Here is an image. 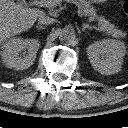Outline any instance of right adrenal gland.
Here are the masks:
<instances>
[{"instance_id":"2a0ac1e0","label":"right adrenal gland","mask_w":128,"mask_h":128,"mask_svg":"<svg viewBox=\"0 0 128 128\" xmlns=\"http://www.w3.org/2000/svg\"><path fill=\"white\" fill-rule=\"evenodd\" d=\"M38 29H42L43 28V26H41V25H37L36 26Z\"/></svg>"}]
</instances>
